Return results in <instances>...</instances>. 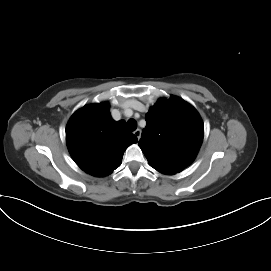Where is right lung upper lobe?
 I'll return each instance as SVG.
<instances>
[{
	"label": "right lung upper lobe",
	"mask_w": 271,
	"mask_h": 271,
	"mask_svg": "<svg viewBox=\"0 0 271 271\" xmlns=\"http://www.w3.org/2000/svg\"><path fill=\"white\" fill-rule=\"evenodd\" d=\"M66 142L76 164L96 177L109 175L122 162L126 148L137 142L124 121L114 122L107 102L84 106L70 118Z\"/></svg>",
	"instance_id": "right-lung-upper-lobe-1"
}]
</instances>
